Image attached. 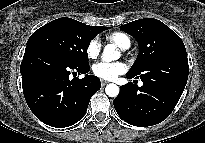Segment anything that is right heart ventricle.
Returning a JSON list of instances; mask_svg holds the SVG:
<instances>
[{
  "mask_svg": "<svg viewBox=\"0 0 205 143\" xmlns=\"http://www.w3.org/2000/svg\"><path fill=\"white\" fill-rule=\"evenodd\" d=\"M107 39L114 42L121 49H127L131 44L130 38L124 32L110 33L107 35Z\"/></svg>",
  "mask_w": 205,
  "mask_h": 143,
  "instance_id": "1",
  "label": "right heart ventricle"
}]
</instances>
